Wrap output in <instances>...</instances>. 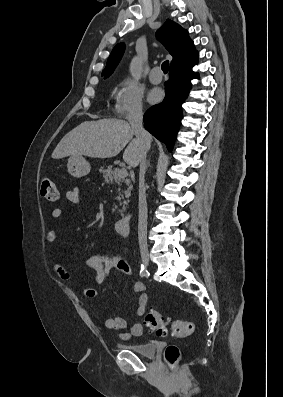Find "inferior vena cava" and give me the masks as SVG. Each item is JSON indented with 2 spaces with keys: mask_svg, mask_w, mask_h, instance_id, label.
Masks as SVG:
<instances>
[{
  "mask_svg": "<svg viewBox=\"0 0 283 397\" xmlns=\"http://www.w3.org/2000/svg\"><path fill=\"white\" fill-rule=\"evenodd\" d=\"M129 123L135 131L136 137L139 138L144 148L139 161V219H138V239L141 249H147V218L148 209L144 187V176L146 171V154L150 146L149 134L143 128V111L141 106H137L129 115Z\"/></svg>",
  "mask_w": 283,
  "mask_h": 397,
  "instance_id": "602c4592",
  "label": "inferior vena cava"
}]
</instances>
